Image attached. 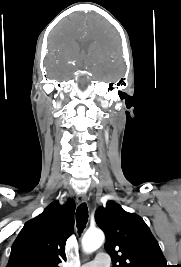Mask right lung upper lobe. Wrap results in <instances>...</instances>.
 <instances>
[{
    "mask_svg": "<svg viewBox=\"0 0 181 267\" xmlns=\"http://www.w3.org/2000/svg\"><path fill=\"white\" fill-rule=\"evenodd\" d=\"M75 203L52 202L28 221L12 245L7 267H58L66 260L65 244L74 230Z\"/></svg>",
    "mask_w": 181,
    "mask_h": 267,
    "instance_id": "right-lung-upper-lobe-1",
    "label": "right lung upper lobe"
}]
</instances>
